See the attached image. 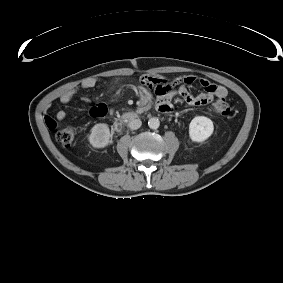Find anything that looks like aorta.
<instances>
[{"mask_svg": "<svg viewBox=\"0 0 283 283\" xmlns=\"http://www.w3.org/2000/svg\"><path fill=\"white\" fill-rule=\"evenodd\" d=\"M148 126L151 128V129H158L159 126H160V121L158 118L156 117H152L148 120Z\"/></svg>", "mask_w": 283, "mask_h": 283, "instance_id": "obj_1", "label": "aorta"}]
</instances>
